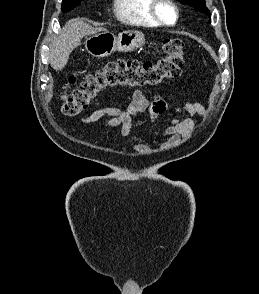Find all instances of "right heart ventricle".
<instances>
[{
	"label": "right heart ventricle",
	"instance_id": "1",
	"mask_svg": "<svg viewBox=\"0 0 259 294\" xmlns=\"http://www.w3.org/2000/svg\"><path fill=\"white\" fill-rule=\"evenodd\" d=\"M151 0H114V12L122 23L155 28L160 25L155 22L149 12Z\"/></svg>",
	"mask_w": 259,
	"mask_h": 294
}]
</instances>
